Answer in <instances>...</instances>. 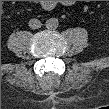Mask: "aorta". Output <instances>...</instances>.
Returning a JSON list of instances; mask_svg holds the SVG:
<instances>
[{
  "instance_id": "1",
  "label": "aorta",
  "mask_w": 109,
  "mask_h": 109,
  "mask_svg": "<svg viewBox=\"0 0 109 109\" xmlns=\"http://www.w3.org/2000/svg\"><path fill=\"white\" fill-rule=\"evenodd\" d=\"M59 25V21L56 18H50L46 21V27L48 29H56Z\"/></svg>"
}]
</instances>
